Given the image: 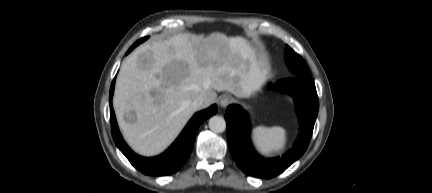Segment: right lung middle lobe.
Wrapping results in <instances>:
<instances>
[{
    "label": "right lung middle lobe",
    "instance_id": "right-lung-middle-lobe-1",
    "mask_svg": "<svg viewBox=\"0 0 432 193\" xmlns=\"http://www.w3.org/2000/svg\"><path fill=\"white\" fill-rule=\"evenodd\" d=\"M146 39H147V37H144V38L138 40L137 42H135L133 44V46L128 51H131L134 47H136L138 44H140L141 42L145 41Z\"/></svg>",
    "mask_w": 432,
    "mask_h": 193
}]
</instances>
